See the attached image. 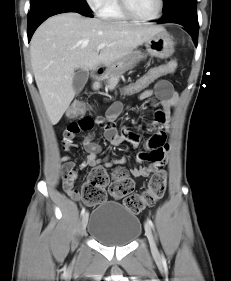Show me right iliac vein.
<instances>
[{"mask_svg":"<svg viewBox=\"0 0 231 281\" xmlns=\"http://www.w3.org/2000/svg\"><path fill=\"white\" fill-rule=\"evenodd\" d=\"M88 212L84 213L83 217H82V222H81V235L84 234L86 226H87V222H88Z\"/></svg>","mask_w":231,"mask_h":281,"instance_id":"obj_1","label":"right iliac vein"}]
</instances>
